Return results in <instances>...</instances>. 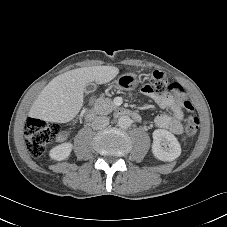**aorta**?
I'll return each instance as SVG.
<instances>
[{"label": "aorta", "instance_id": "aorta-1", "mask_svg": "<svg viewBox=\"0 0 227 227\" xmlns=\"http://www.w3.org/2000/svg\"><path fill=\"white\" fill-rule=\"evenodd\" d=\"M132 124V120L129 116H121L119 119H118V126L120 128H128L130 127Z\"/></svg>", "mask_w": 227, "mask_h": 227}]
</instances>
